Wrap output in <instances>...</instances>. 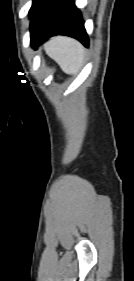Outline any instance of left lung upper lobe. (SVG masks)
I'll return each mask as SVG.
<instances>
[{
	"label": "left lung upper lobe",
	"mask_w": 134,
	"mask_h": 281,
	"mask_svg": "<svg viewBox=\"0 0 134 281\" xmlns=\"http://www.w3.org/2000/svg\"><path fill=\"white\" fill-rule=\"evenodd\" d=\"M40 2V0H33V4L32 7L29 11V14L31 15L33 13V11L35 10L36 6L38 5V3Z\"/></svg>",
	"instance_id": "left-lung-upper-lobe-1"
}]
</instances>
